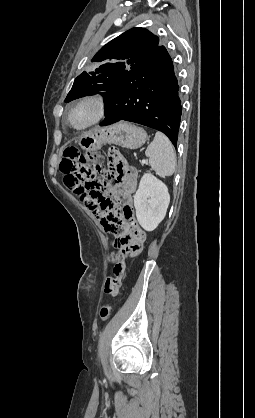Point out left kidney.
I'll return each instance as SVG.
<instances>
[{"instance_id":"obj_1","label":"left kidney","mask_w":255,"mask_h":418,"mask_svg":"<svg viewBox=\"0 0 255 418\" xmlns=\"http://www.w3.org/2000/svg\"><path fill=\"white\" fill-rule=\"evenodd\" d=\"M170 202L167 186L151 173H145L134 195V207L139 224L153 231L164 219Z\"/></svg>"}]
</instances>
